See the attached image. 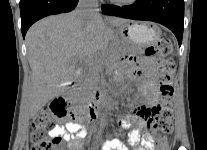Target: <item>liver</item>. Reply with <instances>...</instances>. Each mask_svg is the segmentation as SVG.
<instances>
[{
  "label": "liver",
  "instance_id": "6515ba94",
  "mask_svg": "<svg viewBox=\"0 0 207 150\" xmlns=\"http://www.w3.org/2000/svg\"><path fill=\"white\" fill-rule=\"evenodd\" d=\"M127 22L116 17L103 19L99 13L82 21L73 11L35 23L26 34L32 70L22 98L26 117H34L50 100L61 95L75 78V65H88L99 52L106 51L114 39V27Z\"/></svg>",
  "mask_w": 207,
  "mask_h": 150
}]
</instances>
